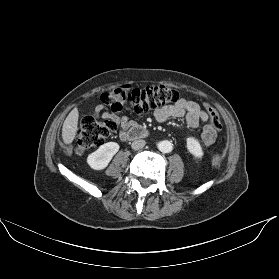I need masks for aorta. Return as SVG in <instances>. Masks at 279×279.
Masks as SVG:
<instances>
[{
	"instance_id": "762f6f07",
	"label": "aorta",
	"mask_w": 279,
	"mask_h": 279,
	"mask_svg": "<svg viewBox=\"0 0 279 279\" xmlns=\"http://www.w3.org/2000/svg\"><path fill=\"white\" fill-rule=\"evenodd\" d=\"M158 149L163 153H169L173 149V144L168 140H164L158 143Z\"/></svg>"
}]
</instances>
